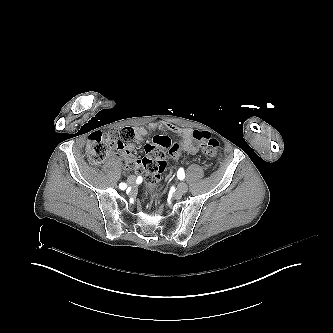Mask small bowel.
I'll return each mask as SVG.
<instances>
[{
  "label": "small bowel",
  "mask_w": 333,
  "mask_h": 333,
  "mask_svg": "<svg viewBox=\"0 0 333 333\" xmlns=\"http://www.w3.org/2000/svg\"><path fill=\"white\" fill-rule=\"evenodd\" d=\"M151 131H161V132H171L182 138V144L184 149L189 153H196L198 151V146L195 144L202 141L208 142L212 139L213 134L211 131L206 130L204 132H198L193 129L181 128L178 125L168 122H158L152 123L148 126L137 127L135 130V135L137 141H142L143 138ZM117 150H120V153L117 157L118 161L123 163V167L126 170L133 169L136 174L140 172L141 162L132 157L133 145H124L122 140H119L115 145ZM180 153L173 155L172 157L176 158ZM136 175H130L129 181L135 182Z\"/></svg>",
  "instance_id": "c3829d8e"
}]
</instances>
